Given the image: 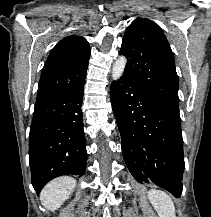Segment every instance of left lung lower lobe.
Segmentation results:
<instances>
[{"instance_id": "0a47b994", "label": "left lung lower lobe", "mask_w": 211, "mask_h": 217, "mask_svg": "<svg viewBox=\"0 0 211 217\" xmlns=\"http://www.w3.org/2000/svg\"><path fill=\"white\" fill-rule=\"evenodd\" d=\"M110 97L130 173L139 183L180 197L185 168L180 115L125 75L112 82Z\"/></svg>"}]
</instances>
